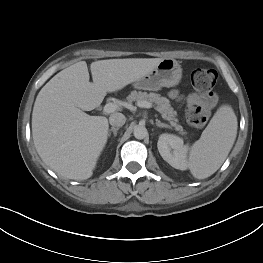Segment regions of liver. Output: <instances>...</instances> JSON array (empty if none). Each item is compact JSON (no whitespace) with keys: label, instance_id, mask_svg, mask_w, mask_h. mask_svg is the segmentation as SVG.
I'll use <instances>...</instances> for the list:
<instances>
[{"label":"liver","instance_id":"6515ba94","mask_svg":"<svg viewBox=\"0 0 263 263\" xmlns=\"http://www.w3.org/2000/svg\"><path fill=\"white\" fill-rule=\"evenodd\" d=\"M161 58L85 61L57 73L40 90L32 113L34 146L42 161L59 176H92L108 135V119L84 111L98 107L107 93L121 90L152 71Z\"/></svg>","mask_w":263,"mask_h":263}]
</instances>
